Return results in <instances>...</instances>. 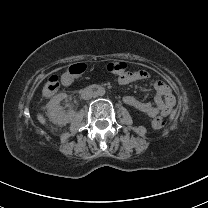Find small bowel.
I'll return each instance as SVG.
<instances>
[{
	"label": "small bowel",
	"instance_id": "small-bowel-1",
	"mask_svg": "<svg viewBox=\"0 0 208 208\" xmlns=\"http://www.w3.org/2000/svg\"><path fill=\"white\" fill-rule=\"evenodd\" d=\"M149 78V73L145 70H137L129 72L127 76L119 79L120 83L128 84L138 80H145ZM153 88L156 92L154 103L140 101L136 96L128 95L124 97V102L140 112L146 114L148 117H156L157 115L168 116L175 105V97L172 94L170 87L157 81L153 84Z\"/></svg>",
	"mask_w": 208,
	"mask_h": 208
}]
</instances>
